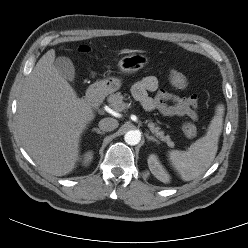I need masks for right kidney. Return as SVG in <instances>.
Masks as SVG:
<instances>
[{
    "label": "right kidney",
    "mask_w": 248,
    "mask_h": 248,
    "mask_svg": "<svg viewBox=\"0 0 248 248\" xmlns=\"http://www.w3.org/2000/svg\"><path fill=\"white\" fill-rule=\"evenodd\" d=\"M92 158H93V153L87 152L83 158V165L87 166L91 162Z\"/></svg>",
    "instance_id": "ca27d5eb"
}]
</instances>
